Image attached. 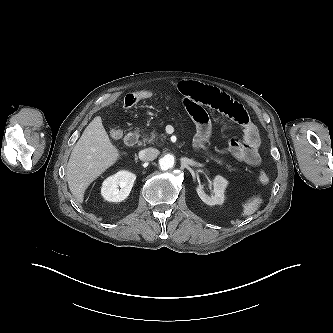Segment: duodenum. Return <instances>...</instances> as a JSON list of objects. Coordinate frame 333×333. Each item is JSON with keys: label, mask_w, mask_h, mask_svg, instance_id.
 Listing matches in <instances>:
<instances>
[{"label": "duodenum", "mask_w": 333, "mask_h": 333, "mask_svg": "<svg viewBox=\"0 0 333 333\" xmlns=\"http://www.w3.org/2000/svg\"><path fill=\"white\" fill-rule=\"evenodd\" d=\"M124 141L127 146L136 145L139 141V133L135 130L128 132L125 136Z\"/></svg>", "instance_id": "obj_1"}]
</instances>
